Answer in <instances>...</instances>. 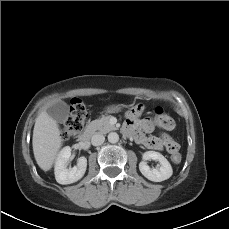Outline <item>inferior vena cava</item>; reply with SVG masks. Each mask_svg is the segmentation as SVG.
<instances>
[{
  "label": "inferior vena cava",
  "instance_id": "obj_1",
  "mask_svg": "<svg viewBox=\"0 0 229 229\" xmlns=\"http://www.w3.org/2000/svg\"><path fill=\"white\" fill-rule=\"evenodd\" d=\"M104 141H105V137H104V135H102L100 133L94 134L91 138V143L93 146H99V145L103 144Z\"/></svg>",
  "mask_w": 229,
  "mask_h": 229
}]
</instances>
